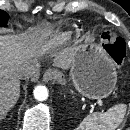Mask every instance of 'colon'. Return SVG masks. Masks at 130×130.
<instances>
[{"instance_id":"5ec220e1","label":"colon","mask_w":130,"mask_h":130,"mask_svg":"<svg viewBox=\"0 0 130 130\" xmlns=\"http://www.w3.org/2000/svg\"><path fill=\"white\" fill-rule=\"evenodd\" d=\"M103 46L117 60H121L124 52V41L119 38H114L110 35L103 36Z\"/></svg>"}]
</instances>
